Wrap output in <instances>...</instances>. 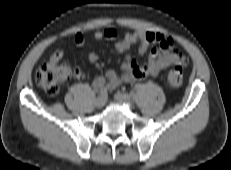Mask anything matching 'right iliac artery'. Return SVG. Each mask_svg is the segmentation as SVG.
Here are the masks:
<instances>
[{
    "label": "right iliac artery",
    "instance_id": "1",
    "mask_svg": "<svg viewBox=\"0 0 231 170\" xmlns=\"http://www.w3.org/2000/svg\"><path fill=\"white\" fill-rule=\"evenodd\" d=\"M99 96L104 98L107 96V90L105 88H101L99 91Z\"/></svg>",
    "mask_w": 231,
    "mask_h": 170
}]
</instances>
